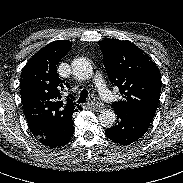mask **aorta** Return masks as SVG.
Listing matches in <instances>:
<instances>
[{"instance_id":"762f6f07","label":"aorta","mask_w":183,"mask_h":183,"mask_svg":"<svg viewBox=\"0 0 183 183\" xmlns=\"http://www.w3.org/2000/svg\"><path fill=\"white\" fill-rule=\"evenodd\" d=\"M72 72L78 79L86 80L91 78L93 75V68L86 58H76L72 62ZM99 121L104 127H112L116 121V114L114 110H102L99 115Z\"/></svg>"}]
</instances>
